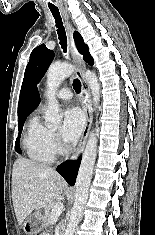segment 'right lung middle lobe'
I'll use <instances>...</instances> for the list:
<instances>
[{"label": "right lung middle lobe", "instance_id": "obj_1", "mask_svg": "<svg viewBox=\"0 0 155 235\" xmlns=\"http://www.w3.org/2000/svg\"><path fill=\"white\" fill-rule=\"evenodd\" d=\"M26 118H23L21 120L18 121V129H19V136L18 138L16 139V143H15V150L16 152L18 153H22L21 152V149H20V146H19V139H20V136H21V132H22V128H23V125H24V122H25Z\"/></svg>", "mask_w": 155, "mask_h": 235}]
</instances>
